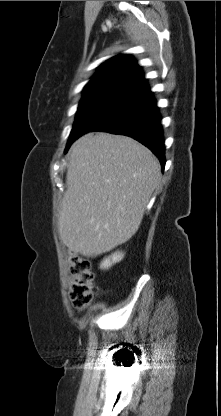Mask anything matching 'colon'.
I'll use <instances>...</instances> for the list:
<instances>
[{
    "mask_svg": "<svg viewBox=\"0 0 221 416\" xmlns=\"http://www.w3.org/2000/svg\"><path fill=\"white\" fill-rule=\"evenodd\" d=\"M71 282L69 285V296L74 308L82 311L89 306L93 299V279L91 262L76 252L68 255Z\"/></svg>",
    "mask_w": 221,
    "mask_h": 416,
    "instance_id": "5ec220e1",
    "label": "colon"
}]
</instances>
